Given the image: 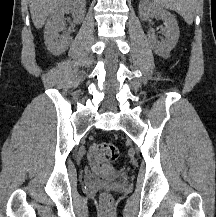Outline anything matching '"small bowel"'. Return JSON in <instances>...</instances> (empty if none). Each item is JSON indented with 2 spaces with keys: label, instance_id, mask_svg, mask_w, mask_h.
<instances>
[{
  "label": "small bowel",
  "instance_id": "c3829d8e",
  "mask_svg": "<svg viewBox=\"0 0 216 217\" xmlns=\"http://www.w3.org/2000/svg\"><path fill=\"white\" fill-rule=\"evenodd\" d=\"M89 165H90V169L92 173L99 177H104L114 172V169L112 167L101 163L97 159L96 154H95V145H93L90 150Z\"/></svg>",
  "mask_w": 216,
  "mask_h": 217
}]
</instances>
